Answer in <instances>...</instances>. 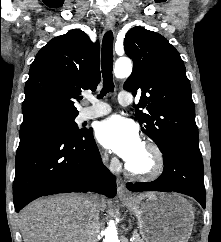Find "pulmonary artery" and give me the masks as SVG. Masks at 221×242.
<instances>
[{"mask_svg":"<svg viewBox=\"0 0 221 242\" xmlns=\"http://www.w3.org/2000/svg\"><path fill=\"white\" fill-rule=\"evenodd\" d=\"M89 101L91 105L86 107L81 114L83 120L102 117L111 112V108L108 104L94 98H90ZM118 101L121 105L126 106L132 103V97L127 92H121Z\"/></svg>","mask_w":221,"mask_h":242,"instance_id":"pulmonary-artery-1","label":"pulmonary artery"}]
</instances>
